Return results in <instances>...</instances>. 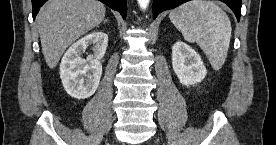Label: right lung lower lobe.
Wrapping results in <instances>:
<instances>
[{
    "instance_id": "right-lung-lower-lobe-1",
    "label": "right lung lower lobe",
    "mask_w": 276,
    "mask_h": 145,
    "mask_svg": "<svg viewBox=\"0 0 276 145\" xmlns=\"http://www.w3.org/2000/svg\"><path fill=\"white\" fill-rule=\"evenodd\" d=\"M47 0H32V7H33V19L36 17L40 7L46 2ZM112 8L113 10H116L120 12L123 19L126 18L127 13V6H126V0H99Z\"/></svg>"
}]
</instances>
